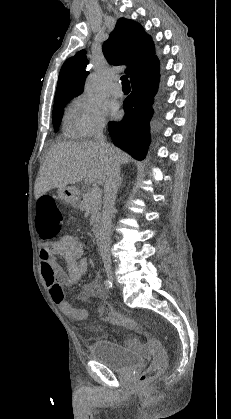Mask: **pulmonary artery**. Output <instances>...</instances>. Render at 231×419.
Here are the masks:
<instances>
[{
    "instance_id": "pulmonary-artery-1",
    "label": "pulmonary artery",
    "mask_w": 231,
    "mask_h": 419,
    "mask_svg": "<svg viewBox=\"0 0 231 419\" xmlns=\"http://www.w3.org/2000/svg\"><path fill=\"white\" fill-rule=\"evenodd\" d=\"M110 92H111V94H112L113 96H115V97H120V96H122V94H123L122 87L120 86V84H119L117 81H115V82L111 85V87H110Z\"/></svg>"
}]
</instances>
